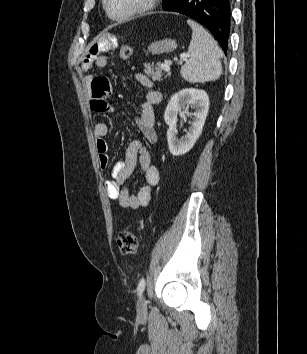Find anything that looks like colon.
<instances>
[{"label": "colon", "mask_w": 307, "mask_h": 354, "mask_svg": "<svg viewBox=\"0 0 307 354\" xmlns=\"http://www.w3.org/2000/svg\"><path fill=\"white\" fill-rule=\"evenodd\" d=\"M133 50L129 45L120 48V56L128 60L132 56ZM117 243L120 251L125 255L135 254L138 249L137 235L132 231H121L117 236Z\"/></svg>", "instance_id": "colon-1"}]
</instances>
